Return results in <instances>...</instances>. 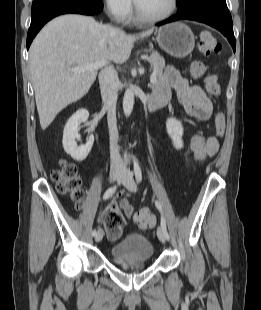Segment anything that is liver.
Listing matches in <instances>:
<instances>
[{"instance_id":"6515ba94","label":"liver","mask_w":261,"mask_h":310,"mask_svg":"<svg viewBox=\"0 0 261 310\" xmlns=\"http://www.w3.org/2000/svg\"><path fill=\"white\" fill-rule=\"evenodd\" d=\"M153 31L149 29L140 37ZM137 38L77 14L61 15L45 25L29 50L41 128L45 130L62 109L86 95L98 73V69L80 73L70 69L100 61L122 64L129 59Z\"/></svg>"}]
</instances>
